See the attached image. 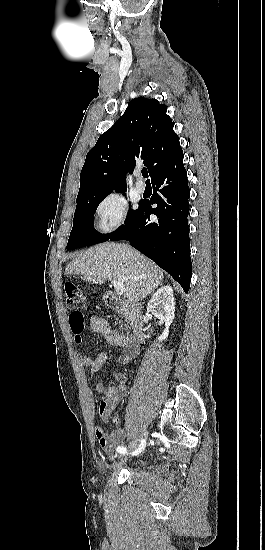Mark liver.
<instances>
[{
  "mask_svg": "<svg viewBox=\"0 0 265 550\" xmlns=\"http://www.w3.org/2000/svg\"><path fill=\"white\" fill-rule=\"evenodd\" d=\"M65 274L82 275L84 281L104 284L122 282L129 301H139L162 284L163 271L129 245L101 243L78 254L65 268Z\"/></svg>",
  "mask_w": 265,
  "mask_h": 550,
  "instance_id": "obj_1",
  "label": "liver"
}]
</instances>
